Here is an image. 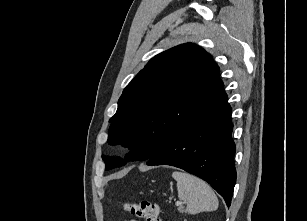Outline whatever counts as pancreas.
I'll return each instance as SVG.
<instances>
[{
  "label": "pancreas",
  "mask_w": 307,
  "mask_h": 221,
  "mask_svg": "<svg viewBox=\"0 0 307 221\" xmlns=\"http://www.w3.org/2000/svg\"><path fill=\"white\" fill-rule=\"evenodd\" d=\"M179 211H181V212H182V211H183V207H180V208H179Z\"/></svg>",
  "instance_id": "obj_1"
}]
</instances>
